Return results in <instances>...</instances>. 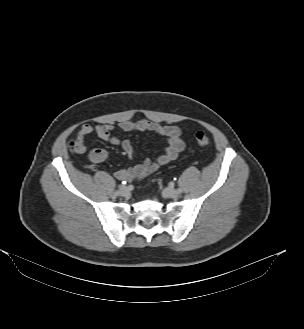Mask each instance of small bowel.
<instances>
[{
	"mask_svg": "<svg viewBox=\"0 0 304 329\" xmlns=\"http://www.w3.org/2000/svg\"><path fill=\"white\" fill-rule=\"evenodd\" d=\"M119 129L124 132L130 131H148L156 133L168 140V146L163 154L156 160H146L141 164L133 167L120 169L115 172V177L121 181L140 180L155 172L159 166L168 164L173 161L184 148L182 139V131L171 125H161L157 122L141 119L138 121H123L119 124ZM97 136L107 142L122 147L125 154L130 158H134V149L130 140H121L114 132V128L110 125L98 124L92 126L83 124L77 132L74 142L78 146L77 153H83L86 149V139L93 132ZM107 151L99 148L92 149L89 152V160L93 163H101L108 158Z\"/></svg>",
	"mask_w": 304,
	"mask_h": 329,
	"instance_id": "obj_1",
	"label": "small bowel"
}]
</instances>
